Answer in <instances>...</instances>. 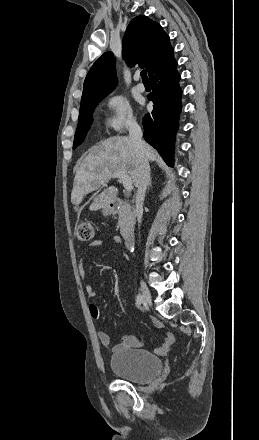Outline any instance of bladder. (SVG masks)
<instances>
[{
    "label": "bladder",
    "mask_w": 259,
    "mask_h": 440,
    "mask_svg": "<svg viewBox=\"0 0 259 440\" xmlns=\"http://www.w3.org/2000/svg\"><path fill=\"white\" fill-rule=\"evenodd\" d=\"M112 372L130 382H145L156 377L162 370V361L143 349H120L110 358Z\"/></svg>",
    "instance_id": "31cf9c89"
}]
</instances>
